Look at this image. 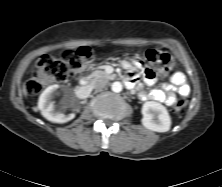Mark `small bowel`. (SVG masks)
<instances>
[{"mask_svg": "<svg viewBox=\"0 0 222 187\" xmlns=\"http://www.w3.org/2000/svg\"><path fill=\"white\" fill-rule=\"evenodd\" d=\"M128 72L126 78H129L132 85L140 91L141 86L138 83L135 68L128 64ZM144 81L148 85H152L156 82V79L148 71H145ZM190 92V87L186 83L185 76L181 72H177L172 76V83L164 84L161 89H155L147 93L144 91L139 92V96L144 100H154L157 102H162L167 105H173L177 99V94L188 95Z\"/></svg>", "mask_w": 222, "mask_h": 187, "instance_id": "obj_1", "label": "small bowel"}]
</instances>
